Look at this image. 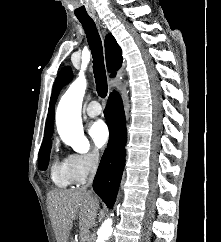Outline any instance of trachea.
<instances>
[{
    "label": "trachea",
    "instance_id": "3493384b",
    "mask_svg": "<svg viewBox=\"0 0 221 242\" xmlns=\"http://www.w3.org/2000/svg\"><path fill=\"white\" fill-rule=\"evenodd\" d=\"M82 24L93 57V72L96 90L101 98H105L108 91L107 77L104 65L103 47L100 35L91 18H78Z\"/></svg>",
    "mask_w": 221,
    "mask_h": 242
}]
</instances>
